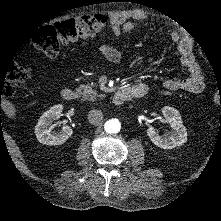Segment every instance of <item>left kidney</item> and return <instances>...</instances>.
I'll return each instance as SVG.
<instances>
[{
	"label": "left kidney",
	"instance_id": "5707ae66",
	"mask_svg": "<svg viewBox=\"0 0 221 221\" xmlns=\"http://www.w3.org/2000/svg\"><path fill=\"white\" fill-rule=\"evenodd\" d=\"M165 123H168L171 130L159 135L154 127L147 129V135L150 140L162 149H173L177 146H182L187 141L186 127L183 125L180 112L169 106L162 108Z\"/></svg>",
	"mask_w": 221,
	"mask_h": 221
}]
</instances>
